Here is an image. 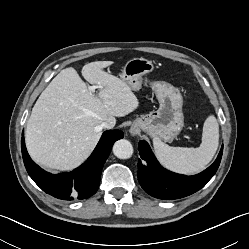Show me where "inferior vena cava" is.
<instances>
[{"mask_svg": "<svg viewBox=\"0 0 249 249\" xmlns=\"http://www.w3.org/2000/svg\"><path fill=\"white\" fill-rule=\"evenodd\" d=\"M100 127L103 129H112L114 127V125L112 123H109V122H103L100 125Z\"/></svg>", "mask_w": 249, "mask_h": 249, "instance_id": "602c4592", "label": "inferior vena cava"}]
</instances>
